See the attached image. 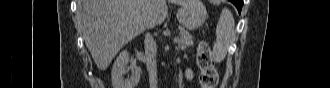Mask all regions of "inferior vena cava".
Segmentation results:
<instances>
[{
    "instance_id": "1",
    "label": "inferior vena cava",
    "mask_w": 330,
    "mask_h": 88,
    "mask_svg": "<svg viewBox=\"0 0 330 88\" xmlns=\"http://www.w3.org/2000/svg\"><path fill=\"white\" fill-rule=\"evenodd\" d=\"M145 60L149 72L150 88H157V45L150 33L145 34Z\"/></svg>"
}]
</instances>
